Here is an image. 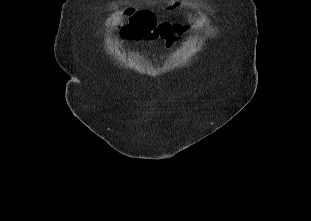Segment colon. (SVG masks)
Listing matches in <instances>:
<instances>
[{
	"mask_svg": "<svg viewBox=\"0 0 311 221\" xmlns=\"http://www.w3.org/2000/svg\"><path fill=\"white\" fill-rule=\"evenodd\" d=\"M128 14L126 11L123 13ZM134 20L141 21L133 25H121L120 30L123 39H137L140 41H155L159 38L166 40L167 44H172L179 31L185 30L182 24H174L170 21H164L158 25L154 14L149 9H140L134 16Z\"/></svg>",
	"mask_w": 311,
	"mask_h": 221,
	"instance_id": "obj_1",
	"label": "colon"
}]
</instances>
